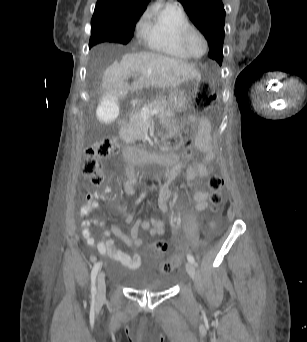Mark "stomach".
I'll return each instance as SVG.
<instances>
[{
    "label": "stomach",
    "instance_id": "obj_1",
    "mask_svg": "<svg viewBox=\"0 0 307 342\" xmlns=\"http://www.w3.org/2000/svg\"><path fill=\"white\" fill-rule=\"evenodd\" d=\"M199 81L192 79L175 89L169 96L170 104L173 110L177 112L184 111L189 105L190 100L198 89Z\"/></svg>",
    "mask_w": 307,
    "mask_h": 342
}]
</instances>
